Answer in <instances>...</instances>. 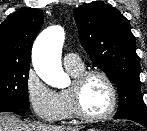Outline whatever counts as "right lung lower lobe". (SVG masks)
<instances>
[{"label":"right lung lower lobe","mask_w":147,"mask_h":131,"mask_svg":"<svg viewBox=\"0 0 147 131\" xmlns=\"http://www.w3.org/2000/svg\"><path fill=\"white\" fill-rule=\"evenodd\" d=\"M18 108L9 105H0V112H16Z\"/></svg>","instance_id":"obj_1"}]
</instances>
